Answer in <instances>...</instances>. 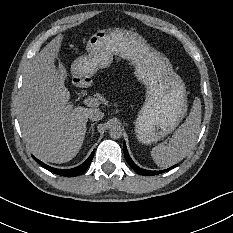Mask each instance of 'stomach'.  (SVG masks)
Here are the masks:
<instances>
[{
  "label": "stomach",
  "instance_id": "0dacf381",
  "mask_svg": "<svg viewBox=\"0 0 233 233\" xmlns=\"http://www.w3.org/2000/svg\"><path fill=\"white\" fill-rule=\"evenodd\" d=\"M86 54L71 65V74L78 79L92 78L108 68L114 56L134 66V76L146 89L145 102L135 121V133L142 144H152L172 133L187 111L186 88L171 68L169 60L153 48L141 35L122 28H107L92 34Z\"/></svg>",
  "mask_w": 233,
  "mask_h": 233
}]
</instances>
